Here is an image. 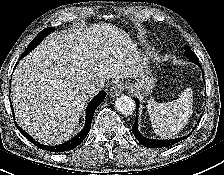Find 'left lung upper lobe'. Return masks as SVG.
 I'll use <instances>...</instances> for the list:
<instances>
[{"label":"left lung upper lobe","instance_id":"1","mask_svg":"<svg viewBox=\"0 0 224 175\" xmlns=\"http://www.w3.org/2000/svg\"><path fill=\"white\" fill-rule=\"evenodd\" d=\"M185 56L193 63L199 62L198 57L193 53V51L188 46L185 47Z\"/></svg>","mask_w":224,"mask_h":175}]
</instances>
